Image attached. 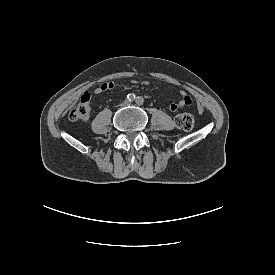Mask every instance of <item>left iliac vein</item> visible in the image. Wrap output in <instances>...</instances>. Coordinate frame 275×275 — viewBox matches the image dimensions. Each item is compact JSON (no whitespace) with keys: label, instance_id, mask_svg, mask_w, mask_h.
<instances>
[{"label":"left iliac vein","instance_id":"4c4485c4","mask_svg":"<svg viewBox=\"0 0 275 275\" xmlns=\"http://www.w3.org/2000/svg\"><path fill=\"white\" fill-rule=\"evenodd\" d=\"M130 102L129 101H126V104L128 105Z\"/></svg>","mask_w":275,"mask_h":275}]
</instances>
